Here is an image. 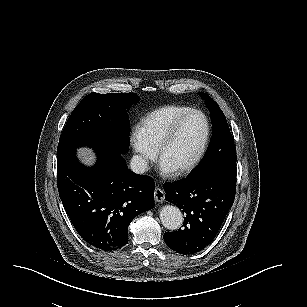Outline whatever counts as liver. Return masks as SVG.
I'll return each instance as SVG.
<instances>
[{"label": "liver", "mask_w": 307, "mask_h": 307, "mask_svg": "<svg viewBox=\"0 0 307 307\" xmlns=\"http://www.w3.org/2000/svg\"><path fill=\"white\" fill-rule=\"evenodd\" d=\"M75 158L86 168H94L99 162V155L95 149L89 145H81L75 148Z\"/></svg>", "instance_id": "6515ba94"}]
</instances>
